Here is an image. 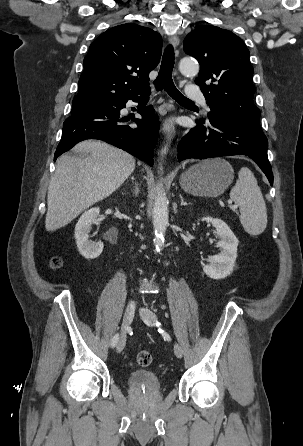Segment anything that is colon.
<instances>
[{
    "label": "colon",
    "mask_w": 303,
    "mask_h": 446,
    "mask_svg": "<svg viewBox=\"0 0 303 446\" xmlns=\"http://www.w3.org/2000/svg\"><path fill=\"white\" fill-rule=\"evenodd\" d=\"M51 264L54 268H59L62 264V261L60 258H54ZM136 361L140 366H149L152 362V355L148 351H140L137 353Z\"/></svg>",
    "instance_id": "obj_1"
}]
</instances>
